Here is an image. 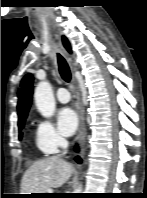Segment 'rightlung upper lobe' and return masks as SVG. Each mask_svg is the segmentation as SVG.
<instances>
[{
  "label": "right lung upper lobe",
  "instance_id": "cb5924a9",
  "mask_svg": "<svg viewBox=\"0 0 147 198\" xmlns=\"http://www.w3.org/2000/svg\"><path fill=\"white\" fill-rule=\"evenodd\" d=\"M64 47L71 52L70 44L65 36L62 38ZM33 77L31 74H27L21 81V88L18 91V121L26 119L28 110L31 105L32 93H33Z\"/></svg>",
  "mask_w": 147,
  "mask_h": 198
}]
</instances>
